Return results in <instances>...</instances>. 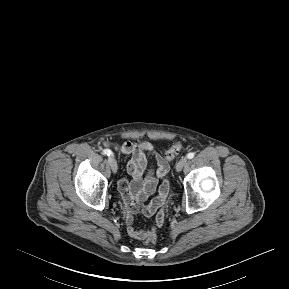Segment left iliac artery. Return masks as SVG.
<instances>
[{
    "mask_svg": "<svg viewBox=\"0 0 289 289\" xmlns=\"http://www.w3.org/2000/svg\"><path fill=\"white\" fill-rule=\"evenodd\" d=\"M194 157V153L193 152H190L187 154V158L188 159H192Z\"/></svg>",
    "mask_w": 289,
    "mask_h": 289,
    "instance_id": "1",
    "label": "left iliac artery"
}]
</instances>
